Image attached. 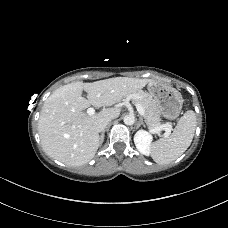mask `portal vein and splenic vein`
<instances>
[{
	"instance_id": "18ae733b",
	"label": "portal vein and splenic vein",
	"mask_w": 228,
	"mask_h": 228,
	"mask_svg": "<svg viewBox=\"0 0 228 228\" xmlns=\"http://www.w3.org/2000/svg\"><path fill=\"white\" fill-rule=\"evenodd\" d=\"M137 111L139 112L140 115L144 116V109L140 104H135ZM87 114L92 116L95 114V109L94 108H88L87 109ZM160 130H165L167 132V134H169L171 132V126H169L168 124H163L160 127L152 130L153 133H158L160 132Z\"/></svg>"
}]
</instances>
